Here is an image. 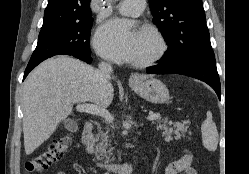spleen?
Segmentation results:
<instances>
[{"label":"spleen","mask_w":249,"mask_h":174,"mask_svg":"<svg viewBox=\"0 0 249 174\" xmlns=\"http://www.w3.org/2000/svg\"><path fill=\"white\" fill-rule=\"evenodd\" d=\"M201 132L204 147L209 151H215L218 145V131L210 111L207 112V118L201 125Z\"/></svg>","instance_id":"1"}]
</instances>
